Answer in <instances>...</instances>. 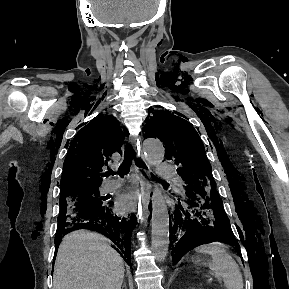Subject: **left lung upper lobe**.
<instances>
[{"instance_id": "left-lung-upper-lobe-1", "label": "left lung upper lobe", "mask_w": 289, "mask_h": 289, "mask_svg": "<svg viewBox=\"0 0 289 289\" xmlns=\"http://www.w3.org/2000/svg\"><path fill=\"white\" fill-rule=\"evenodd\" d=\"M146 129V138L157 137L165 144L166 158L178 166L183 188L196 185L216 188L204 145L189 122L168 112L156 111Z\"/></svg>"}]
</instances>
